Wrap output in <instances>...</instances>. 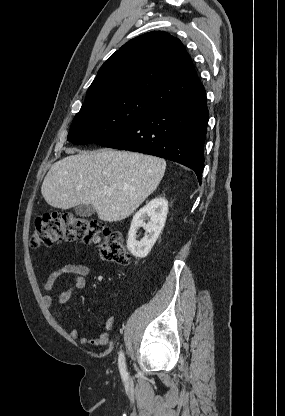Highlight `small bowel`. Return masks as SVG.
<instances>
[{"label": "small bowel", "instance_id": "1", "mask_svg": "<svg viewBox=\"0 0 285 416\" xmlns=\"http://www.w3.org/2000/svg\"><path fill=\"white\" fill-rule=\"evenodd\" d=\"M90 274V268L84 264L68 262L52 271L48 276H46L42 282V290L44 291L43 304L45 307L52 312V314L60 319V315L57 311L53 309V299L50 295V292L53 290L54 286L58 280L67 275L72 282V285L67 288L65 291L61 292L57 296V302L60 304H65L71 300L75 293L83 289L86 286V277ZM115 322V318L112 315H109L104 324V331L101 332L98 336L88 337L81 335L79 330L72 328L69 330V336L72 339H77L81 344H89L93 346L105 345L109 340V331L112 329Z\"/></svg>", "mask_w": 285, "mask_h": 416}]
</instances>
